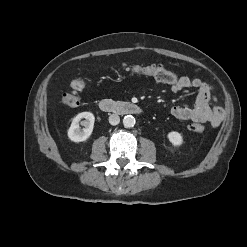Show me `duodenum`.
I'll list each match as a JSON object with an SVG mask.
<instances>
[{"label": "duodenum", "mask_w": 247, "mask_h": 247, "mask_svg": "<svg viewBox=\"0 0 247 247\" xmlns=\"http://www.w3.org/2000/svg\"><path fill=\"white\" fill-rule=\"evenodd\" d=\"M102 111L108 113H115L120 115L140 114L141 108L133 103L124 101H114L111 99H103L99 103Z\"/></svg>", "instance_id": "410a0bca"}]
</instances>
